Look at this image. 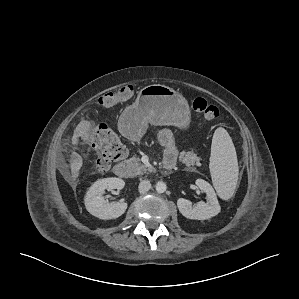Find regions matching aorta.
Listing matches in <instances>:
<instances>
[{
  "mask_svg": "<svg viewBox=\"0 0 299 299\" xmlns=\"http://www.w3.org/2000/svg\"><path fill=\"white\" fill-rule=\"evenodd\" d=\"M166 188H167V186L164 182H158L156 184V191L158 193H164L166 191Z\"/></svg>",
  "mask_w": 299,
  "mask_h": 299,
  "instance_id": "762f6f07",
  "label": "aorta"
}]
</instances>
